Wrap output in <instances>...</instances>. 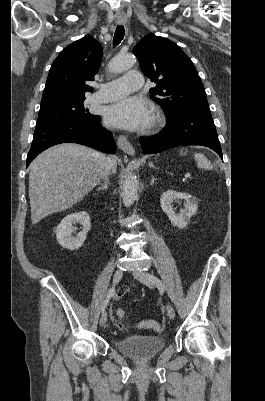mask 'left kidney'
I'll list each match as a JSON object with an SVG mask.
<instances>
[{"label": "left kidney", "instance_id": "1", "mask_svg": "<svg viewBox=\"0 0 265 401\" xmlns=\"http://www.w3.org/2000/svg\"><path fill=\"white\" fill-rule=\"evenodd\" d=\"M176 198H184L185 201V209H181L180 213H177V215L172 205L173 201H176ZM160 201L162 211L168 215L172 225L179 227V229L187 227L192 215H195L198 209V198L192 196V194H188V192L166 190V192H163Z\"/></svg>", "mask_w": 265, "mask_h": 401}]
</instances>
